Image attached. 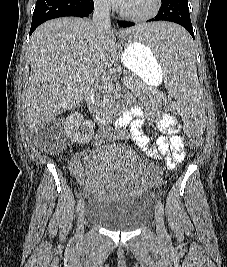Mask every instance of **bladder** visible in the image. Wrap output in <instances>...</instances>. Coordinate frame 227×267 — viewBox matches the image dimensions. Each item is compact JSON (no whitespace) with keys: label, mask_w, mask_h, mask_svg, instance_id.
I'll use <instances>...</instances> for the list:
<instances>
[{"label":"bladder","mask_w":227,"mask_h":267,"mask_svg":"<svg viewBox=\"0 0 227 267\" xmlns=\"http://www.w3.org/2000/svg\"><path fill=\"white\" fill-rule=\"evenodd\" d=\"M152 196L142 193L114 200L91 198L85 215L88 222L116 232H131L150 220Z\"/></svg>","instance_id":"obj_1"}]
</instances>
